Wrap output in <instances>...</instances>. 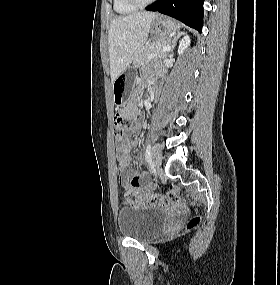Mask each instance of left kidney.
Returning <instances> with one entry per match:
<instances>
[{"mask_svg": "<svg viewBox=\"0 0 280 285\" xmlns=\"http://www.w3.org/2000/svg\"><path fill=\"white\" fill-rule=\"evenodd\" d=\"M190 45V38L188 35H185L182 40L180 41L179 47H178V54L181 55L185 51V49L188 48Z\"/></svg>", "mask_w": 280, "mask_h": 285, "instance_id": "1", "label": "left kidney"}]
</instances>
